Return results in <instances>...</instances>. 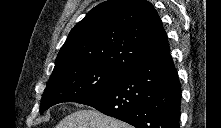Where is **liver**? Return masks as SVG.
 I'll list each match as a JSON object with an SVG mask.
<instances>
[{
  "label": "liver",
  "instance_id": "6515ba94",
  "mask_svg": "<svg viewBox=\"0 0 221 128\" xmlns=\"http://www.w3.org/2000/svg\"><path fill=\"white\" fill-rule=\"evenodd\" d=\"M56 128H132L115 118L104 115L95 109L75 111L60 121Z\"/></svg>",
  "mask_w": 221,
  "mask_h": 128
}]
</instances>
